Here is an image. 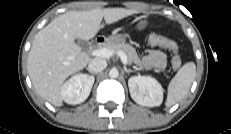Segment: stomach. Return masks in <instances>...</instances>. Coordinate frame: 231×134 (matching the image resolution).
Wrapping results in <instances>:
<instances>
[{
	"instance_id": "obj_1",
	"label": "stomach",
	"mask_w": 231,
	"mask_h": 134,
	"mask_svg": "<svg viewBox=\"0 0 231 134\" xmlns=\"http://www.w3.org/2000/svg\"><path fill=\"white\" fill-rule=\"evenodd\" d=\"M149 25L148 21L143 19H138V23L136 24V28L139 31L144 30ZM110 42H124V38L122 35L111 36L107 39Z\"/></svg>"
}]
</instances>
